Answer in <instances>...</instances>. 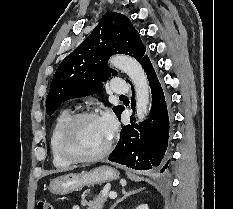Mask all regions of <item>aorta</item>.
Listing matches in <instances>:
<instances>
[{
    "label": "aorta",
    "mask_w": 233,
    "mask_h": 209,
    "mask_svg": "<svg viewBox=\"0 0 233 209\" xmlns=\"http://www.w3.org/2000/svg\"><path fill=\"white\" fill-rule=\"evenodd\" d=\"M109 62L131 79L135 88L137 121H143L148 111L150 96L149 82L144 69L138 61L126 55L113 56Z\"/></svg>",
    "instance_id": "obj_1"
}]
</instances>
